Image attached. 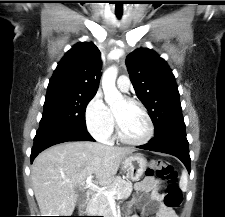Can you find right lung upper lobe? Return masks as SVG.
I'll return each mask as SVG.
<instances>
[{"label":"right lung upper lobe","mask_w":225,"mask_h":217,"mask_svg":"<svg viewBox=\"0 0 225 217\" xmlns=\"http://www.w3.org/2000/svg\"><path fill=\"white\" fill-rule=\"evenodd\" d=\"M101 55L92 42L75 44L58 63L47 93L95 95L99 86Z\"/></svg>","instance_id":"cb5924a9"}]
</instances>
